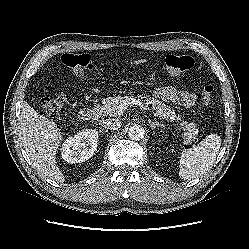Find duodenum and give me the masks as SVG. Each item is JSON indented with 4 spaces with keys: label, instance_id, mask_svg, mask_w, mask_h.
<instances>
[{
    "label": "duodenum",
    "instance_id": "1",
    "mask_svg": "<svg viewBox=\"0 0 249 249\" xmlns=\"http://www.w3.org/2000/svg\"><path fill=\"white\" fill-rule=\"evenodd\" d=\"M98 117V110L96 108H91V107H87V108H83L80 111V118L84 121H91V120H95Z\"/></svg>",
    "mask_w": 249,
    "mask_h": 249
}]
</instances>
